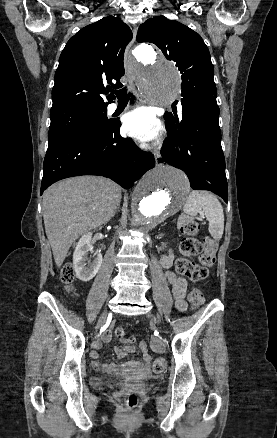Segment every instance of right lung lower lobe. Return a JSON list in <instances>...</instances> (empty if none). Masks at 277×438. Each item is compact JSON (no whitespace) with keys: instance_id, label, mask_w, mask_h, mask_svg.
Wrapping results in <instances>:
<instances>
[{"instance_id":"obj_1","label":"right lung lower lobe","mask_w":277,"mask_h":438,"mask_svg":"<svg viewBox=\"0 0 277 438\" xmlns=\"http://www.w3.org/2000/svg\"><path fill=\"white\" fill-rule=\"evenodd\" d=\"M119 128V122L108 120L102 129L81 130L49 143L41 194L54 182L79 175L104 176L125 189L131 188L154 167V158L131 139L122 138Z\"/></svg>"}]
</instances>
